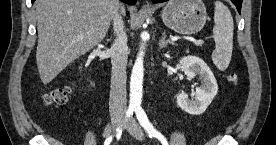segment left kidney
I'll list each match as a JSON object with an SVG mask.
<instances>
[{
  "mask_svg": "<svg viewBox=\"0 0 276 145\" xmlns=\"http://www.w3.org/2000/svg\"><path fill=\"white\" fill-rule=\"evenodd\" d=\"M185 75L192 79L196 74L203 79L202 84L196 88L195 97L191 100L181 92L177 96V105L191 115H200L212 102L218 91L217 81L208 65L199 57L186 56L179 61Z\"/></svg>",
  "mask_w": 276,
  "mask_h": 145,
  "instance_id": "left-kidney-1",
  "label": "left kidney"
}]
</instances>
